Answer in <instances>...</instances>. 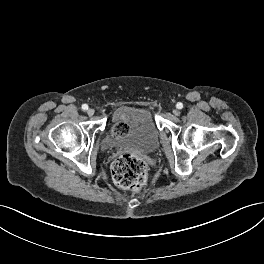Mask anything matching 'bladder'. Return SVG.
I'll use <instances>...</instances> for the list:
<instances>
[{"mask_svg":"<svg viewBox=\"0 0 264 264\" xmlns=\"http://www.w3.org/2000/svg\"><path fill=\"white\" fill-rule=\"evenodd\" d=\"M121 123L126 125V130L117 133L116 128ZM159 143V130L151 111L123 107L115 112L102 146L104 149L127 148L140 153H151L158 148Z\"/></svg>","mask_w":264,"mask_h":264,"instance_id":"1","label":"bladder"}]
</instances>
